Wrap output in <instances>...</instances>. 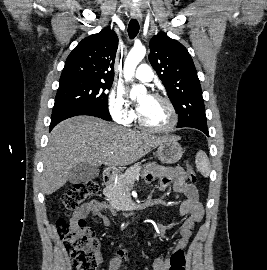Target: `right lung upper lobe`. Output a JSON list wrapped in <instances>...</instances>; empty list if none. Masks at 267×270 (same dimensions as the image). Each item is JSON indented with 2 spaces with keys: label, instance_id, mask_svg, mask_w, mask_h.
I'll return each mask as SVG.
<instances>
[{
  "label": "right lung upper lobe",
  "instance_id": "obj_1",
  "mask_svg": "<svg viewBox=\"0 0 267 270\" xmlns=\"http://www.w3.org/2000/svg\"><path fill=\"white\" fill-rule=\"evenodd\" d=\"M117 48V35L110 28L84 38L66 59L60 79L113 81Z\"/></svg>",
  "mask_w": 267,
  "mask_h": 270
}]
</instances>
